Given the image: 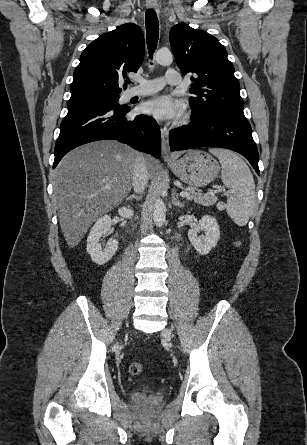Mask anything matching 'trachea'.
<instances>
[{
    "label": "trachea",
    "mask_w": 307,
    "mask_h": 445,
    "mask_svg": "<svg viewBox=\"0 0 307 445\" xmlns=\"http://www.w3.org/2000/svg\"><path fill=\"white\" fill-rule=\"evenodd\" d=\"M146 42L148 45V53L150 58L154 53L158 37H159V22L155 10H146ZM126 83H130L128 80Z\"/></svg>",
    "instance_id": "1"
}]
</instances>
